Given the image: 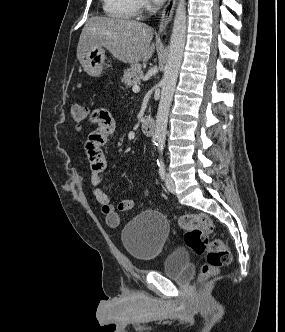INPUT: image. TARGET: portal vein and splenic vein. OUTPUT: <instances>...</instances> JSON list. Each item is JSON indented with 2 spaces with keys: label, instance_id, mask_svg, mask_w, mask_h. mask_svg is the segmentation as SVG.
<instances>
[{
  "label": "portal vein and splenic vein",
  "instance_id": "1",
  "mask_svg": "<svg viewBox=\"0 0 285 332\" xmlns=\"http://www.w3.org/2000/svg\"><path fill=\"white\" fill-rule=\"evenodd\" d=\"M133 92H139L140 91V87L138 85H134L132 88Z\"/></svg>",
  "mask_w": 285,
  "mask_h": 332
}]
</instances>
